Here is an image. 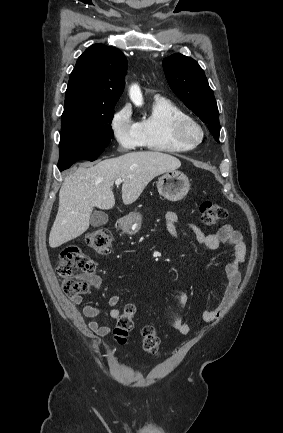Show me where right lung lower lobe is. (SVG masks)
I'll return each instance as SVG.
<instances>
[{
  "mask_svg": "<svg viewBox=\"0 0 283 433\" xmlns=\"http://www.w3.org/2000/svg\"><path fill=\"white\" fill-rule=\"evenodd\" d=\"M102 152H90L83 150H65L60 151L58 168L60 171L68 169L73 163L78 160L86 159L94 161Z\"/></svg>",
  "mask_w": 283,
  "mask_h": 433,
  "instance_id": "obj_1",
  "label": "right lung lower lobe"
}]
</instances>
